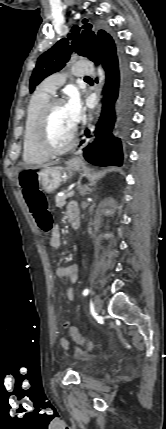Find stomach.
<instances>
[{"label": "stomach", "mask_w": 166, "mask_h": 429, "mask_svg": "<svg viewBox=\"0 0 166 429\" xmlns=\"http://www.w3.org/2000/svg\"><path fill=\"white\" fill-rule=\"evenodd\" d=\"M82 166L80 160H70L66 164V168L62 167H48L37 172L38 184L41 185V189L46 193L51 194L57 190L63 182V173L65 170L68 172L79 171Z\"/></svg>", "instance_id": "0dacf381"}]
</instances>
